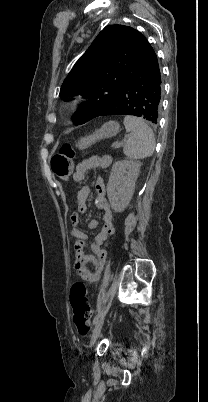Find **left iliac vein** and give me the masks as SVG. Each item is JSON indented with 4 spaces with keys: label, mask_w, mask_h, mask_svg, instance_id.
Wrapping results in <instances>:
<instances>
[{
    "label": "left iliac vein",
    "mask_w": 208,
    "mask_h": 402,
    "mask_svg": "<svg viewBox=\"0 0 208 402\" xmlns=\"http://www.w3.org/2000/svg\"><path fill=\"white\" fill-rule=\"evenodd\" d=\"M103 323H104V316H101L98 319V321L96 322L95 327L93 329V333H92V336H91L90 347L94 346V344H95V342H96V340H97V338H98V336H99V334L101 332Z\"/></svg>",
    "instance_id": "left-iliac-vein-1"
}]
</instances>
